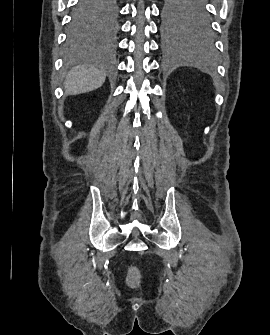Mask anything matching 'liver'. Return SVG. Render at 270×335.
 Wrapping results in <instances>:
<instances>
[{
    "label": "liver",
    "instance_id": "1",
    "mask_svg": "<svg viewBox=\"0 0 270 335\" xmlns=\"http://www.w3.org/2000/svg\"><path fill=\"white\" fill-rule=\"evenodd\" d=\"M105 78L103 72L91 66L73 68L64 82L66 94H85L97 90L104 84Z\"/></svg>",
    "mask_w": 270,
    "mask_h": 335
}]
</instances>
